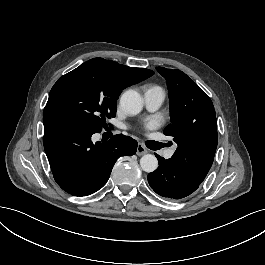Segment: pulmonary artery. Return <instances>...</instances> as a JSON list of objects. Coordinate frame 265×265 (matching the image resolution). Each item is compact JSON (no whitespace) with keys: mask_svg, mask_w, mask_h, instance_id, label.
<instances>
[{"mask_svg":"<svg viewBox=\"0 0 265 265\" xmlns=\"http://www.w3.org/2000/svg\"><path fill=\"white\" fill-rule=\"evenodd\" d=\"M144 100L147 107L156 109L165 101V96L160 89L152 87L149 88L144 94Z\"/></svg>","mask_w":265,"mask_h":265,"instance_id":"e3ab8cb5","label":"pulmonary artery"}]
</instances>
